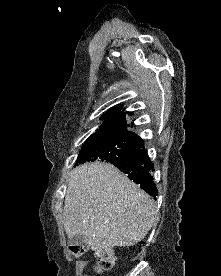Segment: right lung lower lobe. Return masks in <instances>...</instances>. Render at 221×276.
<instances>
[{"instance_id":"1","label":"right lung lower lobe","mask_w":221,"mask_h":276,"mask_svg":"<svg viewBox=\"0 0 221 276\" xmlns=\"http://www.w3.org/2000/svg\"><path fill=\"white\" fill-rule=\"evenodd\" d=\"M112 164L127 174L129 179L139 184L149 195L157 196L158 190L152 177L154 164L144 146L134 151L127 158L117 159Z\"/></svg>"}]
</instances>
